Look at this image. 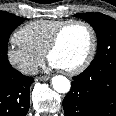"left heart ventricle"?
<instances>
[{"label":"left heart ventricle","mask_w":116,"mask_h":116,"mask_svg":"<svg viewBox=\"0 0 116 116\" xmlns=\"http://www.w3.org/2000/svg\"><path fill=\"white\" fill-rule=\"evenodd\" d=\"M90 41V33L84 26L72 25L62 34L58 47L50 55V60L62 70L74 68L85 59Z\"/></svg>","instance_id":"1"}]
</instances>
